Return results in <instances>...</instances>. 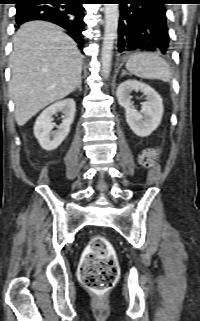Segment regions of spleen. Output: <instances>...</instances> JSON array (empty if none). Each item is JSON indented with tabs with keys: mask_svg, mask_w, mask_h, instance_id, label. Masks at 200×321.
<instances>
[{
	"mask_svg": "<svg viewBox=\"0 0 200 321\" xmlns=\"http://www.w3.org/2000/svg\"><path fill=\"white\" fill-rule=\"evenodd\" d=\"M126 69L142 79L170 81L172 73L168 63L156 53H136L129 57Z\"/></svg>",
	"mask_w": 200,
	"mask_h": 321,
	"instance_id": "3e777b00",
	"label": "spleen"
}]
</instances>
